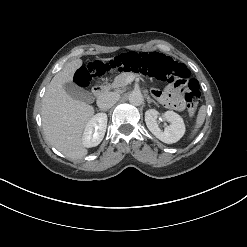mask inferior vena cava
<instances>
[{"label":"inferior vena cava","instance_id":"inferior-vena-cava-1","mask_svg":"<svg viewBox=\"0 0 247 247\" xmlns=\"http://www.w3.org/2000/svg\"><path fill=\"white\" fill-rule=\"evenodd\" d=\"M119 100V95L113 92L102 94L97 100V106L102 110L111 108Z\"/></svg>","mask_w":247,"mask_h":247}]
</instances>
